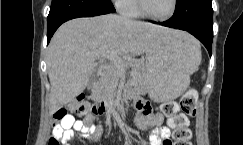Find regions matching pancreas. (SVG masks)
<instances>
[{"label":"pancreas","mask_w":243,"mask_h":145,"mask_svg":"<svg viewBox=\"0 0 243 145\" xmlns=\"http://www.w3.org/2000/svg\"><path fill=\"white\" fill-rule=\"evenodd\" d=\"M126 67L130 65L132 67V75L139 81H144L146 77V68L143 62L134 61L126 62L124 61ZM122 71L112 62L107 65L99 79L96 86V95H102L105 97L114 90H116Z\"/></svg>","instance_id":"cf45deb5"}]
</instances>
